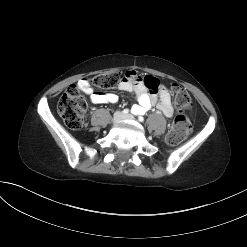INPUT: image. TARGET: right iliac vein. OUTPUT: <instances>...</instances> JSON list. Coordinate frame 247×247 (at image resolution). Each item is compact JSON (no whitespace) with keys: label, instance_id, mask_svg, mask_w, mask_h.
Wrapping results in <instances>:
<instances>
[{"label":"right iliac vein","instance_id":"obj_1","mask_svg":"<svg viewBox=\"0 0 247 247\" xmlns=\"http://www.w3.org/2000/svg\"><path fill=\"white\" fill-rule=\"evenodd\" d=\"M123 118V115L121 112H116L113 116L112 122L118 123Z\"/></svg>","mask_w":247,"mask_h":247}]
</instances>
